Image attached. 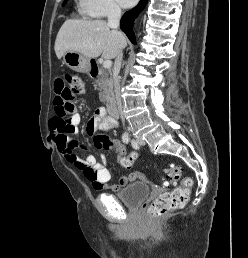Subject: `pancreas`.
<instances>
[{
    "label": "pancreas",
    "mask_w": 248,
    "mask_h": 258,
    "mask_svg": "<svg viewBox=\"0 0 248 258\" xmlns=\"http://www.w3.org/2000/svg\"><path fill=\"white\" fill-rule=\"evenodd\" d=\"M96 83L100 88L99 98L100 101H106L108 95L112 92V75L110 70H106L102 67L98 69V77Z\"/></svg>",
    "instance_id": "cf45deb5"
}]
</instances>
